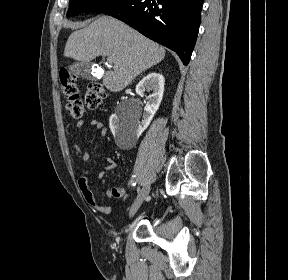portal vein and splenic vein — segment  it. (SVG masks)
Wrapping results in <instances>:
<instances>
[{"label": "portal vein and splenic vein", "mask_w": 288, "mask_h": 280, "mask_svg": "<svg viewBox=\"0 0 288 280\" xmlns=\"http://www.w3.org/2000/svg\"><path fill=\"white\" fill-rule=\"evenodd\" d=\"M107 61L112 64L113 63V59L111 57H107Z\"/></svg>", "instance_id": "obj_1"}]
</instances>
